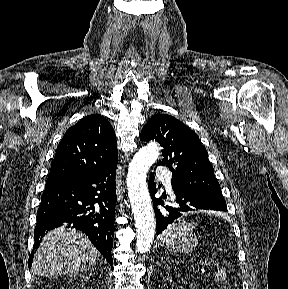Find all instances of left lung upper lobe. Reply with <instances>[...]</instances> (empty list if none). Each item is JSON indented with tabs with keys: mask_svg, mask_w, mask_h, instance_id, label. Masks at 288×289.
<instances>
[{
	"mask_svg": "<svg viewBox=\"0 0 288 289\" xmlns=\"http://www.w3.org/2000/svg\"><path fill=\"white\" fill-rule=\"evenodd\" d=\"M140 139H155L163 147L164 158L158 165L172 171L174 190L195 192L226 204L207 150L184 123L170 115L156 114L143 127Z\"/></svg>",
	"mask_w": 288,
	"mask_h": 289,
	"instance_id": "obj_1",
	"label": "left lung upper lobe"
}]
</instances>
